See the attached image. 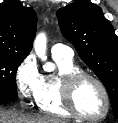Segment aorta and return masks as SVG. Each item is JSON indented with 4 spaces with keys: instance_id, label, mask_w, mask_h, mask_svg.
Wrapping results in <instances>:
<instances>
[{
    "instance_id": "aorta-1",
    "label": "aorta",
    "mask_w": 118,
    "mask_h": 123,
    "mask_svg": "<svg viewBox=\"0 0 118 123\" xmlns=\"http://www.w3.org/2000/svg\"><path fill=\"white\" fill-rule=\"evenodd\" d=\"M33 47H34V50L37 56L42 61H46L47 60V56H46L47 38H46L45 33L41 32L36 35ZM43 68L45 71L50 72L54 70V65L47 62Z\"/></svg>"
}]
</instances>
